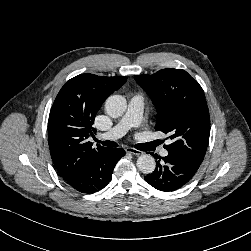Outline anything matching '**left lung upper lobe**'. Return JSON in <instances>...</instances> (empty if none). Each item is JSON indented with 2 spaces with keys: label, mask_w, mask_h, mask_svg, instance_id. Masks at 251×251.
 Instances as JSON below:
<instances>
[{
  "label": "left lung upper lobe",
  "mask_w": 251,
  "mask_h": 251,
  "mask_svg": "<svg viewBox=\"0 0 251 251\" xmlns=\"http://www.w3.org/2000/svg\"><path fill=\"white\" fill-rule=\"evenodd\" d=\"M136 82L152 99L157 111L155 130L169 135L164 148L202 163L210 135V117L204 91L182 69H162L137 75Z\"/></svg>",
  "instance_id": "left-lung-upper-lobe-1"
}]
</instances>
